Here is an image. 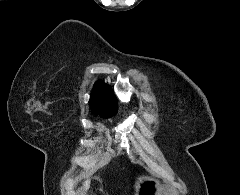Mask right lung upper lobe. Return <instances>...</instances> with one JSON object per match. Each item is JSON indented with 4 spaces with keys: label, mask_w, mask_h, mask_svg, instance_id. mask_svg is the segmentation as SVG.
<instances>
[{
    "label": "right lung upper lobe",
    "mask_w": 240,
    "mask_h": 195,
    "mask_svg": "<svg viewBox=\"0 0 240 195\" xmlns=\"http://www.w3.org/2000/svg\"><path fill=\"white\" fill-rule=\"evenodd\" d=\"M90 105L114 106L117 105L112 89L103 82L94 85L93 92L89 101Z\"/></svg>",
    "instance_id": "obj_1"
}]
</instances>
